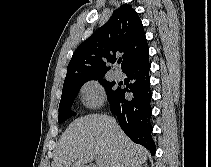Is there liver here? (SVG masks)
Wrapping results in <instances>:
<instances>
[{
	"label": "liver",
	"instance_id": "6515ba94",
	"mask_svg": "<svg viewBox=\"0 0 211 167\" xmlns=\"http://www.w3.org/2000/svg\"><path fill=\"white\" fill-rule=\"evenodd\" d=\"M148 155L112 117L93 114L69 125L60 137L51 167H84L95 156L104 160L105 167H141Z\"/></svg>",
	"mask_w": 211,
	"mask_h": 167
}]
</instances>
